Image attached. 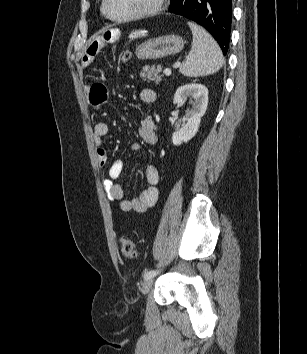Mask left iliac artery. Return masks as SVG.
Instances as JSON below:
<instances>
[{"label":"left iliac artery","mask_w":307,"mask_h":354,"mask_svg":"<svg viewBox=\"0 0 307 354\" xmlns=\"http://www.w3.org/2000/svg\"><path fill=\"white\" fill-rule=\"evenodd\" d=\"M159 271L158 270H150L148 272H145L144 274V279H149V278H152L154 277Z\"/></svg>","instance_id":"obj_1"}]
</instances>
